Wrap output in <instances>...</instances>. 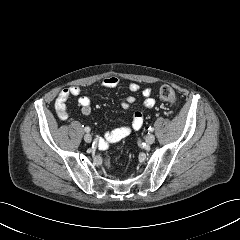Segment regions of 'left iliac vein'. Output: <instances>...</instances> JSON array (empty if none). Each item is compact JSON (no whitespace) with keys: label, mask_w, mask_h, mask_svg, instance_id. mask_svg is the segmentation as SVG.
Here are the masks:
<instances>
[{"label":"left iliac vein","mask_w":240,"mask_h":240,"mask_svg":"<svg viewBox=\"0 0 240 240\" xmlns=\"http://www.w3.org/2000/svg\"><path fill=\"white\" fill-rule=\"evenodd\" d=\"M155 141V136L153 134H148L146 137H145V142L148 144V145H151L153 144Z\"/></svg>","instance_id":"1"}]
</instances>
